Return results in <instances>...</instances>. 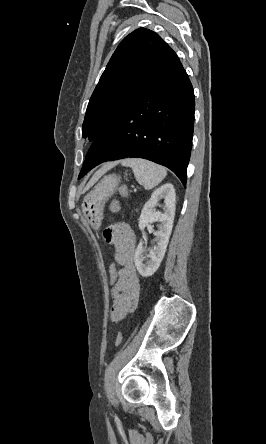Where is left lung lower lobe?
<instances>
[{
  "mask_svg": "<svg viewBox=\"0 0 266 444\" xmlns=\"http://www.w3.org/2000/svg\"><path fill=\"white\" fill-rule=\"evenodd\" d=\"M194 109L193 87L180 64L101 132L80 176L105 161L144 158L172 170L185 186Z\"/></svg>",
  "mask_w": 266,
  "mask_h": 444,
  "instance_id": "obj_1",
  "label": "left lung lower lobe"
}]
</instances>
